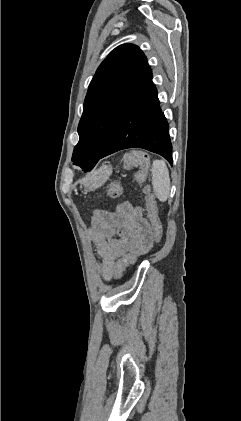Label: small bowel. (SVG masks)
<instances>
[{"label": "small bowel", "mask_w": 241, "mask_h": 421, "mask_svg": "<svg viewBox=\"0 0 241 421\" xmlns=\"http://www.w3.org/2000/svg\"><path fill=\"white\" fill-rule=\"evenodd\" d=\"M89 234L100 257L104 280L115 274L117 261L122 256L144 255L154 241V232L141 208L129 202L120 204L114 212L96 210Z\"/></svg>", "instance_id": "1"}]
</instances>
